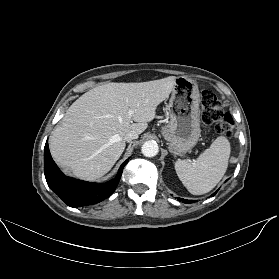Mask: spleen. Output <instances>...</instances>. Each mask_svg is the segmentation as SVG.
Here are the masks:
<instances>
[{"instance_id": "spleen-1", "label": "spleen", "mask_w": 279, "mask_h": 279, "mask_svg": "<svg viewBox=\"0 0 279 279\" xmlns=\"http://www.w3.org/2000/svg\"><path fill=\"white\" fill-rule=\"evenodd\" d=\"M230 143L219 136L196 160L175 162L177 176L193 195L210 192L223 178L230 157Z\"/></svg>"}]
</instances>
